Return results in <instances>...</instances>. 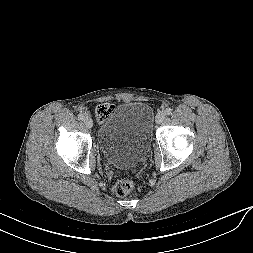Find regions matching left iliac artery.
Here are the masks:
<instances>
[{"mask_svg": "<svg viewBox=\"0 0 253 253\" xmlns=\"http://www.w3.org/2000/svg\"><path fill=\"white\" fill-rule=\"evenodd\" d=\"M165 114H166V115L172 114V109H171V108H167V109L165 110Z\"/></svg>", "mask_w": 253, "mask_h": 253, "instance_id": "44dca946", "label": "left iliac artery"}]
</instances>
